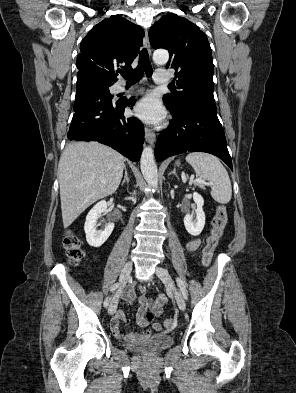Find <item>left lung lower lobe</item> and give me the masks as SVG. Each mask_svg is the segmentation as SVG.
I'll return each instance as SVG.
<instances>
[{
  "instance_id": "0a47b994",
  "label": "left lung lower lobe",
  "mask_w": 296,
  "mask_h": 393,
  "mask_svg": "<svg viewBox=\"0 0 296 393\" xmlns=\"http://www.w3.org/2000/svg\"><path fill=\"white\" fill-rule=\"evenodd\" d=\"M171 114V124L159 135L155 148L158 161L186 151L206 152L219 157L233 170L215 102L192 101Z\"/></svg>"
}]
</instances>
